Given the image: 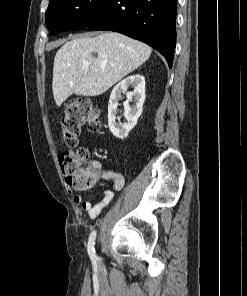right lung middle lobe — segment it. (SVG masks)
<instances>
[{
    "instance_id": "right-lung-middle-lobe-1",
    "label": "right lung middle lobe",
    "mask_w": 247,
    "mask_h": 296,
    "mask_svg": "<svg viewBox=\"0 0 247 296\" xmlns=\"http://www.w3.org/2000/svg\"><path fill=\"white\" fill-rule=\"evenodd\" d=\"M103 0H50L45 21L51 35L78 30L99 12Z\"/></svg>"
}]
</instances>
